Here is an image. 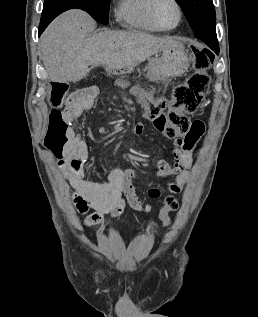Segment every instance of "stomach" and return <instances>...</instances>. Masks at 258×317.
I'll list each match as a JSON object with an SVG mask.
<instances>
[{
	"label": "stomach",
	"mask_w": 258,
	"mask_h": 317,
	"mask_svg": "<svg viewBox=\"0 0 258 317\" xmlns=\"http://www.w3.org/2000/svg\"><path fill=\"white\" fill-rule=\"evenodd\" d=\"M189 66L188 54L183 42L179 46L162 50L161 56H153L148 60L150 74H163V76H180Z\"/></svg>",
	"instance_id": "0dacf381"
}]
</instances>
